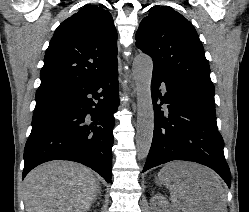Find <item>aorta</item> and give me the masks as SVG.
<instances>
[{"mask_svg": "<svg viewBox=\"0 0 249 212\" xmlns=\"http://www.w3.org/2000/svg\"><path fill=\"white\" fill-rule=\"evenodd\" d=\"M153 61L139 54L133 61V77L137 93L136 152L139 159L147 157L153 139L154 110L151 97Z\"/></svg>", "mask_w": 249, "mask_h": 212, "instance_id": "762f6f07", "label": "aorta"}]
</instances>
